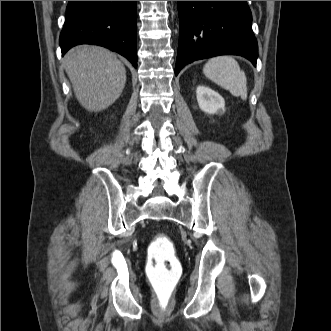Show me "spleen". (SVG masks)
<instances>
[{"label":"spleen","instance_id":"3e777b00","mask_svg":"<svg viewBox=\"0 0 331 331\" xmlns=\"http://www.w3.org/2000/svg\"><path fill=\"white\" fill-rule=\"evenodd\" d=\"M203 73L207 78L229 90L233 96L247 99V79L237 61L231 56H217L208 60Z\"/></svg>","mask_w":331,"mask_h":331}]
</instances>
